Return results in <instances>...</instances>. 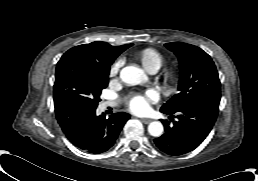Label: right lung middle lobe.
Masks as SVG:
<instances>
[{
    "mask_svg": "<svg viewBox=\"0 0 258 181\" xmlns=\"http://www.w3.org/2000/svg\"><path fill=\"white\" fill-rule=\"evenodd\" d=\"M108 75L109 69L82 55L65 53L56 68L54 107L79 105L96 109L100 94L108 85Z\"/></svg>",
    "mask_w": 258,
    "mask_h": 181,
    "instance_id": "right-lung-middle-lobe-1",
    "label": "right lung middle lobe"
}]
</instances>
